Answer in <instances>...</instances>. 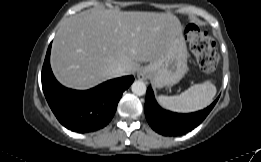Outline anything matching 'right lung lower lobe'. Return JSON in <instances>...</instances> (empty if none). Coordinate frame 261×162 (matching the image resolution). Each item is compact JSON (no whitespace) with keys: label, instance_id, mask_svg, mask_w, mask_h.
Segmentation results:
<instances>
[{"label":"right lung lower lobe","instance_id":"1","mask_svg":"<svg viewBox=\"0 0 261 162\" xmlns=\"http://www.w3.org/2000/svg\"><path fill=\"white\" fill-rule=\"evenodd\" d=\"M50 51L51 44L42 68V88L56 118L67 129L79 133L105 127L113 118L122 93L132 84L134 77L109 80L86 91L68 89L52 73Z\"/></svg>","mask_w":261,"mask_h":162}]
</instances>
